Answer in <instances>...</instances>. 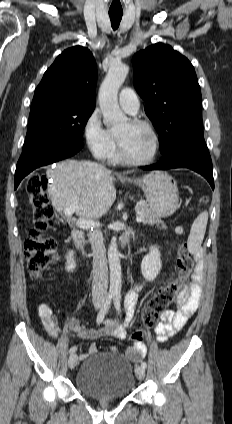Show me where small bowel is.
Masks as SVG:
<instances>
[{"mask_svg":"<svg viewBox=\"0 0 232 424\" xmlns=\"http://www.w3.org/2000/svg\"><path fill=\"white\" fill-rule=\"evenodd\" d=\"M203 271V262L200 257L197 267L192 275L191 283L186 289H182L177 297L175 309L165 310L160 316L161 321L155 329L159 342H165L170 336H173L176 332L181 330L188 318L197 310L202 293V283L204 279ZM139 291V285H136L127 291L124 299L127 308L135 307ZM38 315L48 335L55 339L57 337L58 327L49 305L44 303L40 304L38 307ZM131 319L132 316L128 315L125 325L115 319H106L103 327L98 329H89L81 326L76 318L70 316L67 318V325L70 330L75 332L78 337L83 340H96L103 336L125 339V327L129 324ZM117 350L116 346L109 347L110 352H117ZM97 352V345L92 343L88 348V352L82 356L93 355ZM145 354L146 347L143 343L133 344L126 351V355L134 362H139Z\"/></svg>","mask_w":232,"mask_h":424,"instance_id":"c3829d8e","label":"small bowel"}]
</instances>
